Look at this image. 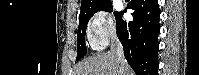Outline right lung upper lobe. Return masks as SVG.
<instances>
[{
    "instance_id": "1",
    "label": "right lung upper lobe",
    "mask_w": 199,
    "mask_h": 75,
    "mask_svg": "<svg viewBox=\"0 0 199 75\" xmlns=\"http://www.w3.org/2000/svg\"><path fill=\"white\" fill-rule=\"evenodd\" d=\"M108 2H110V0H82L79 16L87 14L90 11L95 10L96 8Z\"/></svg>"
}]
</instances>
